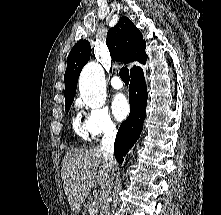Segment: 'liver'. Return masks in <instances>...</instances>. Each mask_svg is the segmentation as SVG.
I'll list each match as a JSON object with an SVG mask.
<instances>
[{"label":"liver","instance_id":"liver-1","mask_svg":"<svg viewBox=\"0 0 221 215\" xmlns=\"http://www.w3.org/2000/svg\"><path fill=\"white\" fill-rule=\"evenodd\" d=\"M112 169L99 148L74 149L66 152L61 178L71 210L79 213L91 189L98 184L105 191Z\"/></svg>","mask_w":221,"mask_h":215}]
</instances>
